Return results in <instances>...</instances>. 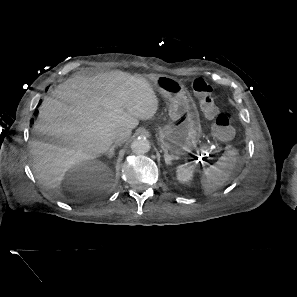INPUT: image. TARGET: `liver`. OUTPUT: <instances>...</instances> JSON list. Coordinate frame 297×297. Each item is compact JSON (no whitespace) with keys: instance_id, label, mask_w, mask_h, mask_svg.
I'll use <instances>...</instances> for the list:
<instances>
[{"instance_id":"liver-1","label":"liver","mask_w":297,"mask_h":297,"mask_svg":"<svg viewBox=\"0 0 297 297\" xmlns=\"http://www.w3.org/2000/svg\"><path fill=\"white\" fill-rule=\"evenodd\" d=\"M53 96L40 106L33 132L44 138H33L30 151L38 180L57 194L70 168L105 153L117 129L132 130L158 109L150 83L120 70L70 78Z\"/></svg>"}]
</instances>
